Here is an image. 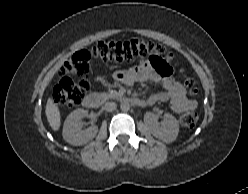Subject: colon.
<instances>
[{
	"instance_id": "colon-1",
	"label": "colon",
	"mask_w": 248,
	"mask_h": 194,
	"mask_svg": "<svg viewBox=\"0 0 248 194\" xmlns=\"http://www.w3.org/2000/svg\"><path fill=\"white\" fill-rule=\"evenodd\" d=\"M146 56L150 57L155 66L167 64L164 60L166 49L152 41L131 40L115 42L101 40L91 49L79 50L70 56L60 68V80L54 88V98L58 104L69 108L76 107L81 103L90 89V63L93 58L122 62ZM75 76L79 78L77 81L73 79ZM124 76V73H118V78L122 79ZM184 85L189 94H197L198 89L192 78H186ZM197 119L195 112H187L181 116L180 121L185 127H193Z\"/></svg>"
}]
</instances>
